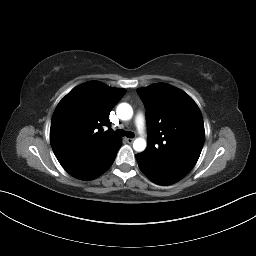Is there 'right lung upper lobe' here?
I'll return each instance as SVG.
<instances>
[{
    "mask_svg": "<svg viewBox=\"0 0 256 256\" xmlns=\"http://www.w3.org/2000/svg\"><path fill=\"white\" fill-rule=\"evenodd\" d=\"M126 91L98 81L74 88L57 105L50 129L52 149L63 168L85 161L121 138L110 127L109 114Z\"/></svg>",
    "mask_w": 256,
    "mask_h": 256,
    "instance_id": "cb5924a9",
    "label": "right lung upper lobe"
}]
</instances>
